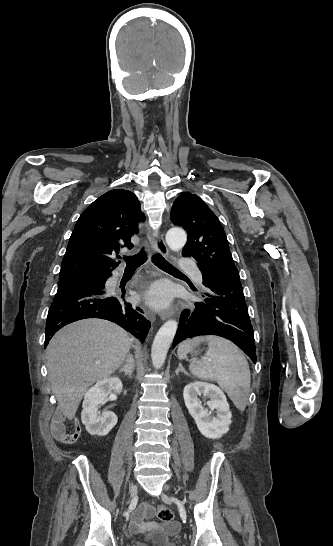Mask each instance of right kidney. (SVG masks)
Listing matches in <instances>:
<instances>
[{"label": "right kidney", "instance_id": "1", "mask_svg": "<svg viewBox=\"0 0 333 546\" xmlns=\"http://www.w3.org/2000/svg\"><path fill=\"white\" fill-rule=\"evenodd\" d=\"M123 385L118 377L99 380L84 396L82 423L91 435L105 436L117 423L116 415L111 411H99V405L105 403V398L112 392L120 393Z\"/></svg>", "mask_w": 333, "mask_h": 546}]
</instances>
